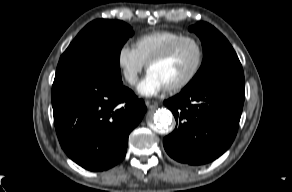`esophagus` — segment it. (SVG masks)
<instances>
[{"label": "esophagus", "mask_w": 292, "mask_h": 192, "mask_svg": "<svg viewBox=\"0 0 292 192\" xmlns=\"http://www.w3.org/2000/svg\"><path fill=\"white\" fill-rule=\"evenodd\" d=\"M146 106L149 109H156L158 107V103L156 101H145Z\"/></svg>", "instance_id": "esophagus-1"}]
</instances>
